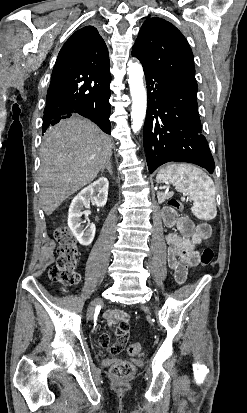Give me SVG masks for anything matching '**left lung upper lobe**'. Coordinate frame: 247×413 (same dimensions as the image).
<instances>
[{"instance_id":"left-lung-upper-lobe-1","label":"left lung upper lobe","mask_w":247,"mask_h":413,"mask_svg":"<svg viewBox=\"0 0 247 413\" xmlns=\"http://www.w3.org/2000/svg\"><path fill=\"white\" fill-rule=\"evenodd\" d=\"M132 55L159 73L197 90L194 59L183 34L170 22L147 19L132 48Z\"/></svg>"}]
</instances>
